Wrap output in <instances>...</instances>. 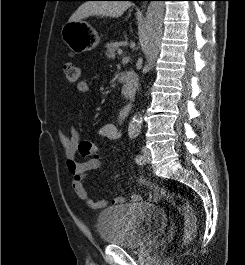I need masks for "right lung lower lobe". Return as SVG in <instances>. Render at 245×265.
Wrapping results in <instances>:
<instances>
[{"instance_id":"right-lung-lower-lobe-1","label":"right lung lower lobe","mask_w":245,"mask_h":265,"mask_svg":"<svg viewBox=\"0 0 245 265\" xmlns=\"http://www.w3.org/2000/svg\"><path fill=\"white\" fill-rule=\"evenodd\" d=\"M84 1H86V0H84ZM128 1H139V0H128ZM147 1H150V0H147Z\"/></svg>"}]
</instances>
